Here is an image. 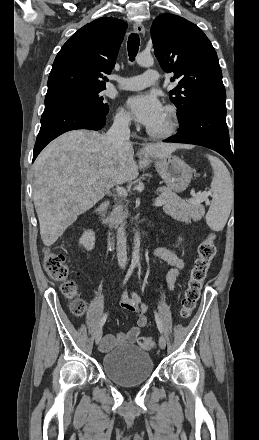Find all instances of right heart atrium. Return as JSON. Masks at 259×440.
Here are the masks:
<instances>
[{
  "instance_id": "d8ad5b80",
  "label": "right heart atrium",
  "mask_w": 259,
  "mask_h": 440,
  "mask_svg": "<svg viewBox=\"0 0 259 440\" xmlns=\"http://www.w3.org/2000/svg\"><path fill=\"white\" fill-rule=\"evenodd\" d=\"M131 122L129 114L123 109L119 108L114 117V123L119 128L129 127Z\"/></svg>"
}]
</instances>
